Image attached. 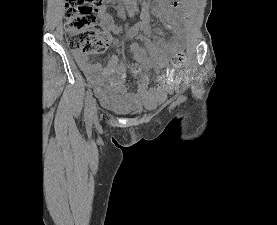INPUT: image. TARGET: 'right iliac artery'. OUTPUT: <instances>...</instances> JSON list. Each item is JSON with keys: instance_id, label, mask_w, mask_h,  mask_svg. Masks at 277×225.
<instances>
[{"instance_id": "82829eb1", "label": "right iliac artery", "mask_w": 277, "mask_h": 225, "mask_svg": "<svg viewBox=\"0 0 277 225\" xmlns=\"http://www.w3.org/2000/svg\"><path fill=\"white\" fill-rule=\"evenodd\" d=\"M91 104H92V91L89 89L85 97V113L84 117L86 121H89L91 118Z\"/></svg>"}]
</instances>
